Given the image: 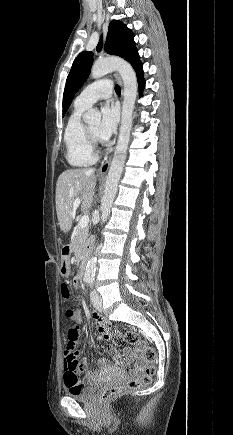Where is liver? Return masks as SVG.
Returning a JSON list of instances; mask_svg holds the SVG:
<instances>
[{
	"label": "liver",
	"instance_id": "liver-1",
	"mask_svg": "<svg viewBox=\"0 0 233 435\" xmlns=\"http://www.w3.org/2000/svg\"><path fill=\"white\" fill-rule=\"evenodd\" d=\"M93 168L69 169L60 174L56 184V212L60 229L67 234L74 219L77 207L76 198H81V210L86 211L92 203L96 186Z\"/></svg>",
	"mask_w": 233,
	"mask_h": 435
}]
</instances>
